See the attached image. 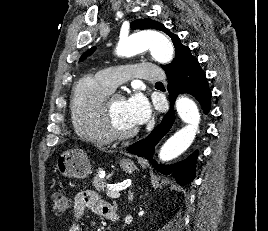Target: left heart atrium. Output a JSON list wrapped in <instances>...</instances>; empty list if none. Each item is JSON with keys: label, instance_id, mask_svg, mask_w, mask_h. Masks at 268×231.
I'll return each mask as SVG.
<instances>
[{"label": "left heart atrium", "instance_id": "39dd6f15", "mask_svg": "<svg viewBox=\"0 0 268 231\" xmlns=\"http://www.w3.org/2000/svg\"><path fill=\"white\" fill-rule=\"evenodd\" d=\"M126 105L136 125L143 124L150 118L149 103L141 93H134L126 100Z\"/></svg>", "mask_w": 268, "mask_h": 231}]
</instances>
